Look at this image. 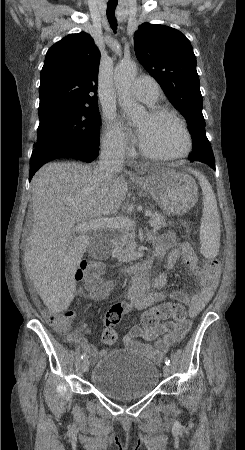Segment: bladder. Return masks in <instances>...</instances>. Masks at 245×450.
<instances>
[{
	"label": "bladder",
	"mask_w": 245,
	"mask_h": 450,
	"mask_svg": "<svg viewBox=\"0 0 245 450\" xmlns=\"http://www.w3.org/2000/svg\"><path fill=\"white\" fill-rule=\"evenodd\" d=\"M159 379V367L146 355L118 348L94 361L90 384L108 398L131 400L153 391Z\"/></svg>",
	"instance_id": "31cf9c89"
}]
</instances>
